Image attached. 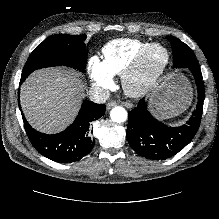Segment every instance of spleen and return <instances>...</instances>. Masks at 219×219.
Masks as SVG:
<instances>
[{
  "label": "spleen",
  "instance_id": "1",
  "mask_svg": "<svg viewBox=\"0 0 219 219\" xmlns=\"http://www.w3.org/2000/svg\"><path fill=\"white\" fill-rule=\"evenodd\" d=\"M173 89H174L172 91L173 99H170V101L171 100L172 101L167 104V108H172V107H176V106H179L181 108H185V106L190 101V96H189L188 90L183 85H176L175 87H173Z\"/></svg>",
  "mask_w": 219,
  "mask_h": 219
}]
</instances>
